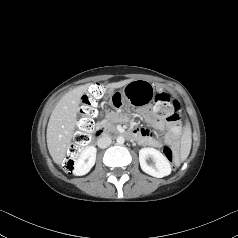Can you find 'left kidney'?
Wrapping results in <instances>:
<instances>
[{
	"instance_id": "left-kidney-1",
	"label": "left kidney",
	"mask_w": 238,
	"mask_h": 238,
	"mask_svg": "<svg viewBox=\"0 0 238 238\" xmlns=\"http://www.w3.org/2000/svg\"><path fill=\"white\" fill-rule=\"evenodd\" d=\"M151 158L154 163L148 164L147 159ZM139 161L141 169L157 178L168 176L171 173V165L167 158L157 149L147 147L139 151Z\"/></svg>"
}]
</instances>
